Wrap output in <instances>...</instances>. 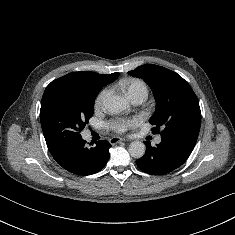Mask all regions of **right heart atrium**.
Masks as SVG:
<instances>
[{
    "instance_id": "d8ad5b80",
    "label": "right heart atrium",
    "mask_w": 235,
    "mask_h": 235,
    "mask_svg": "<svg viewBox=\"0 0 235 235\" xmlns=\"http://www.w3.org/2000/svg\"><path fill=\"white\" fill-rule=\"evenodd\" d=\"M107 94H108L107 88H104L99 92V94L97 95V97L95 99V106L96 107H100L103 104V101L105 100Z\"/></svg>"
}]
</instances>
